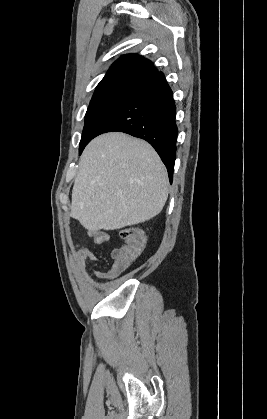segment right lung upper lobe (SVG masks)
<instances>
[{"mask_svg":"<svg viewBox=\"0 0 267 419\" xmlns=\"http://www.w3.org/2000/svg\"><path fill=\"white\" fill-rule=\"evenodd\" d=\"M157 73L148 59L135 54L123 55L112 64L94 95L111 91L132 92Z\"/></svg>","mask_w":267,"mask_h":419,"instance_id":"right-lung-upper-lobe-1","label":"right lung upper lobe"}]
</instances>
